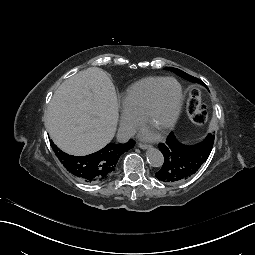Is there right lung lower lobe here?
<instances>
[{"mask_svg":"<svg viewBox=\"0 0 255 255\" xmlns=\"http://www.w3.org/2000/svg\"><path fill=\"white\" fill-rule=\"evenodd\" d=\"M135 143V142H134ZM83 178L91 180L100 173V161L90 153L83 156Z\"/></svg>","mask_w":255,"mask_h":255,"instance_id":"98d812e1","label":"right lung lower lobe"}]
</instances>
